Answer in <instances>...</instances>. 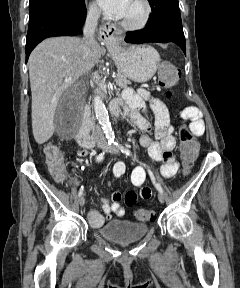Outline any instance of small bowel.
Masks as SVG:
<instances>
[{"mask_svg":"<svg viewBox=\"0 0 240 288\" xmlns=\"http://www.w3.org/2000/svg\"><path fill=\"white\" fill-rule=\"evenodd\" d=\"M118 101L122 104L124 111L129 115L135 126L144 133L140 137V144L147 148L149 156L153 160L161 163V175L165 178L174 176L179 169V164L172 155V150L176 145V137L174 127L170 124L168 108L164 102L152 96L145 89L135 91L130 88L123 91ZM149 112L153 113L155 118L154 139L149 134L151 132V124L146 118ZM180 116L183 120L189 121L188 129L195 137L203 135L205 125L198 108L193 106L185 107L181 111ZM88 149L80 146L76 151V155L78 157L87 156ZM125 172L126 165L123 161H118L114 164L113 175L116 178L122 176ZM145 180L146 173L144 169L140 166L135 167L131 173V182L134 186L141 187L140 197L146 200L151 197V189L143 186ZM120 200V193L115 192L112 203H109L108 200L103 201L102 210L104 215L95 209L90 210L87 214L90 224L97 228L102 226L105 220L111 217L112 213L118 216L124 215Z\"/></svg>","mask_w":240,"mask_h":288,"instance_id":"small-bowel-1","label":"small bowel"}]
</instances>
